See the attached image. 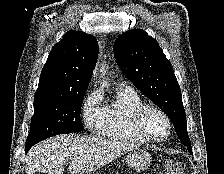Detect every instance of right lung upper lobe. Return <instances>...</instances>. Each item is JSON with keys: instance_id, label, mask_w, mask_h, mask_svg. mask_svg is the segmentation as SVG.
<instances>
[{"instance_id": "1", "label": "right lung upper lobe", "mask_w": 224, "mask_h": 174, "mask_svg": "<svg viewBox=\"0 0 224 174\" xmlns=\"http://www.w3.org/2000/svg\"><path fill=\"white\" fill-rule=\"evenodd\" d=\"M97 56L96 38L79 31L67 32L48 56L35 98L85 94Z\"/></svg>"}]
</instances>
